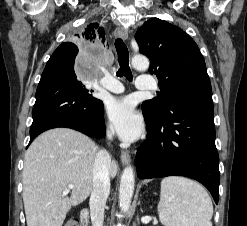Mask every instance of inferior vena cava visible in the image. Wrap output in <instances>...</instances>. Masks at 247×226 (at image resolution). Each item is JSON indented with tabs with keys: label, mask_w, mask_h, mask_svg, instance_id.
<instances>
[{
	"label": "inferior vena cava",
	"mask_w": 247,
	"mask_h": 226,
	"mask_svg": "<svg viewBox=\"0 0 247 226\" xmlns=\"http://www.w3.org/2000/svg\"><path fill=\"white\" fill-rule=\"evenodd\" d=\"M114 131L110 128L107 131L108 139H112ZM111 157L108 151L97 152L93 168V190L90 197V215L92 226H103L104 208L107 197L110 193L109 169Z\"/></svg>",
	"instance_id": "obj_1"
}]
</instances>
